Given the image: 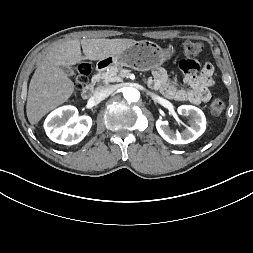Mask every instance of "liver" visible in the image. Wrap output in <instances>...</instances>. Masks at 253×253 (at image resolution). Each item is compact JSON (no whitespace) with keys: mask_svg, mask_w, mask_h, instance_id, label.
<instances>
[{"mask_svg":"<svg viewBox=\"0 0 253 253\" xmlns=\"http://www.w3.org/2000/svg\"><path fill=\"white\" fill-rule=\"evenodd\" d=\"M137 41L133 39L64 40L52 46L38 64L30 81L27 118L34 125L49 111L66 102L74 92V83L62 67L82 60H101L124 51ZM81 47L85 56L81 54Z\"/></svg>","mask_w":253,"mask_h":253,"instance_id":"1","label":"liver"}]
</instances>
